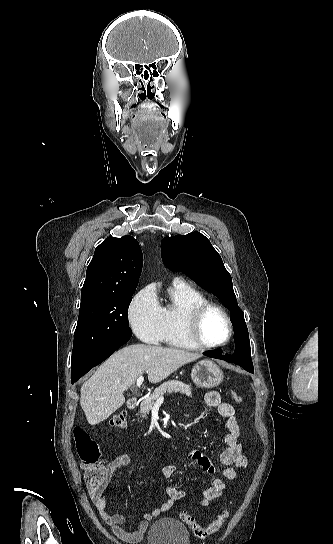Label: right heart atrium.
<instances>
[{
    "instance_id": "1",
    "label": "right heart atrium",
    "mask_w": 333,
    "mask_h": 544,
    "mask_svg": "<svg viewBox=\"0 0 333 544\" xmlns=\"http://www.w3.org/2000/svg\"><path fill=\"white\" fill-rule=\"evenodd\" d=\"M128 319L135 335L145 343L157 345L163 341L164 318L154 289H141L131 301Z\"/></svg>"
}]
</instances>
